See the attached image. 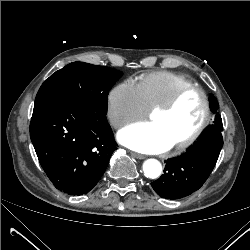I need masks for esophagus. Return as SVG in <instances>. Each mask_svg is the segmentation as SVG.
Here are the masks:
<instances>
[{
	"label": "esophagus",
	"mask_w": 250,
	"mask_h": 250,
	"mask_svg": "<svg viewBox=\"0 0 250 250\" xmlns=\"http://www.w3.org/2000/svg\"><path fill=\"white\" fill-rule=\"evenodd\" d=\"M131 155L136 159H145V156L136 152H131Z\"/></svg>",
	"instance_id": "obj_1"
}]
</instances>
